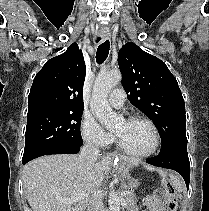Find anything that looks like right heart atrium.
I'll list each match as a JSON object with an SVG mask.
<instances>
[{
  "label": "right heart atrium",
  "instance_id": "d8ad5b80",
  "mask_svg": "<svg viewBox=\"0 0 209 211\" xmlns=\"http://www.w3.org/2000/svg\"><path fill=\"white\" fill-rule=\"evenodd\" d=\"M83 140L94 147H106L113 141V136L105 131L90 115H85L81 122Z\"/></svg>",
  "mask_w": 209,
  "mask_h": 211
}]
</instances>
